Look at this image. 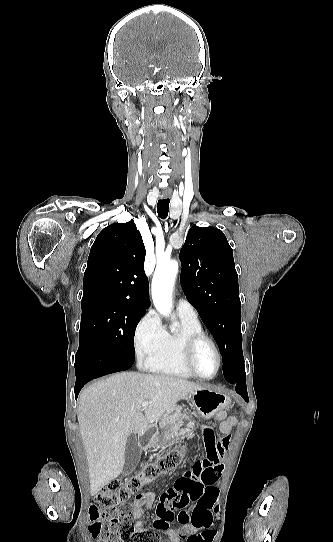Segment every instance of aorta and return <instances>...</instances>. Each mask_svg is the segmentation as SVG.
<instances>
[{
  "label": "aorta",
  "mask_w": 333,
  "mask_h": 542,
  "mask_svg": "<svg viewBox=\"0 0 333 542\" xmlns=\"http://www.w3.org/2000/svg\"><path fill=\"white\" fill-rule=\"evenodd\" d=\"M177 272L178 262H169L162 268L157 266L153 276L152 300L156 310L163 316H169L172 310V288Z\"/></svg>",
  "instance_id": "aorta-1"
}]
</instances>
